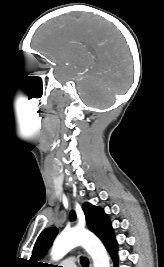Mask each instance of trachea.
Instances as JSON below:
<instances>
[{
	"label": "trachea",
	"instance_id": "1",
	"mask_svg": "<svg viewBox=\"0 0 164 267\" xmlns=\"http://www.w3.org/2000/svg\"><path fill=\"white\" fill-rule=\"evenodd\" d=\"M82 267H88L89 266V261L86 257H81L80 259Z\"/></svg>",
	"mask_w": 164,
	"mask_h": 267
}]
</instances>
